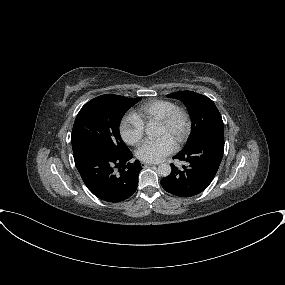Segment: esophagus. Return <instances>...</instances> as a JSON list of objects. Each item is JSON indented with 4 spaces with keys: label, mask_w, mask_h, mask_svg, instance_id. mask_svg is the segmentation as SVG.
I'll return each instance as SVG.
<instances>
[{
    "label": "esophagus",
    "mask_w": 285,
    "mask_h": 285,
    "mask_svg": "<svg viewBox=\"0 0 285 285\" xmlns=\"http://www.w3.org/2000/svg\"><path fill=\"white\" fill-rule=\"evenodd\" d=\"M141 164H142V167H143V168H146V167H150V166L155 165V164H153V163H145V162H142Z\"/></svg>",
    "instance_id": "1"
}]
</instances>
